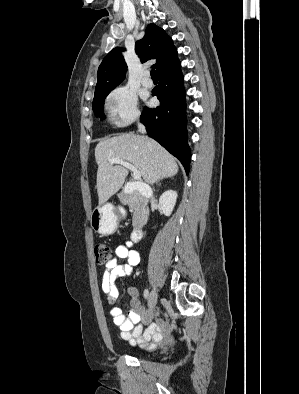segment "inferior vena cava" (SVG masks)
I'll return each instance as SVG.
<instances>
[{
    "label": "inferior vena cava",
    "instance_id": "1",
    "mask_svg": "<svg viewBox=\"0 0 299 394\" xmlns=\"http://www.w3.org/2000/svg\"><path fill=\"white\" fill-rule=\"evenodd\" d=\"M138 131L142 134L146 132L145 127L139 122H138Z\"/></svg>",
    "mask_w": 299,
    "mask_h": 394
}]
</instances>
